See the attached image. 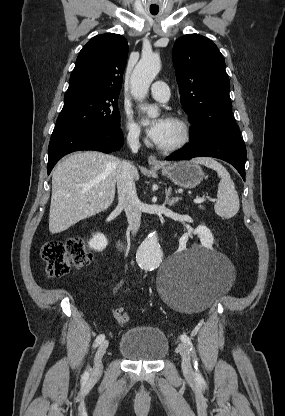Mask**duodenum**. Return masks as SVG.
Instances as JSON below:
<instances>
[{
  "label": "duodenum",
  "mask_w": 285,
  "mask_h": 416,
  "mask_svg": "<svg viewBox=\"0 0 285 416\" xmlns=\"http://www.w3.org/2000/svg\"><path fill=\"white\" fill-rule=\"evenodd\" d=\"M117 248L120 252H125L127 249V240L124 236H118L117 238Z\"/></svg>",
  "instance_id": "obj_1"
}]
</instances>
